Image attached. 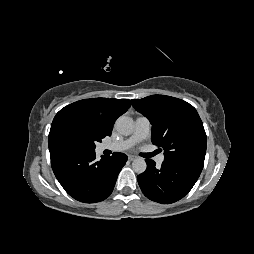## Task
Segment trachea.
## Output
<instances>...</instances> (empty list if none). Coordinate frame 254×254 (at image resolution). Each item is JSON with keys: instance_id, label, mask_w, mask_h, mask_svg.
Here are the masks:
<instances>
[{"instance_id": "1", "label": "trachea", "mask_w": 254, "mask_h": 254, "mask_svg": "<svg viewBox=\"0 0 254 254\" xmlns=\"http://www.w3.org/2000/svg\"><path fill=\"white\" fill-rule=\"evenodd\" d=\"M157 152L150 153V156H154Z\"/></svg>"}]
</instances>
